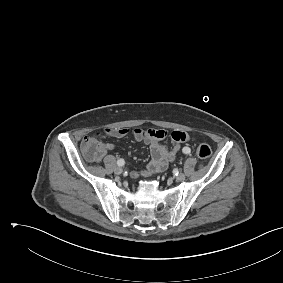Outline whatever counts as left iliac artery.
I'll return each instance as SVG.
<instances>
[{
	"label": "left iliac artery",
	"instance_id": "1",
	"mask_svg": "<svg viewBox=\"0 0 283 283\" xmlns=\"http://www.w3.org/2000/svg\"><path fill=\"white\" fill-rule=\"evenodd\" d=\"M183 153L184 154H189L190 153V149L188 147L183 148Z\"/></svg>",
	"mask_w": 283,
	"mask_h": 283
}]
</instances>
